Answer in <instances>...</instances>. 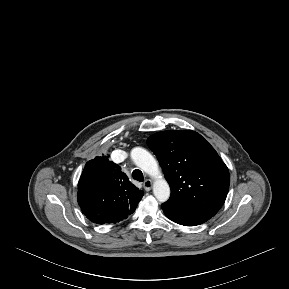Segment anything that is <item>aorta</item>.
<instances>
[{
	"mask_svg": "<svg viewBox=\"0 0 289 289\" xmlns=\"http://www.w3.org/2000/svg\"><path fill=\"white\" fill-rule=\"evenodd\" d=\"M131 158L139 168L154 178L153 193L156 199L160 202L167 201L170 197V187L163 178L155 158L146 149L141 147L132 149Z\"/></svg>",
	"mask_w": 289,
	"mask_h": 289,
	"instance_id": "1",
	"label": "aorta"
}]
</instances>
